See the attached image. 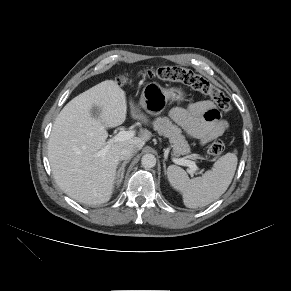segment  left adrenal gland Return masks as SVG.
<instances>
[{
  "label": "left adrenal gland",
  "mask_w": 291,
  "mask_h": 291,
  "mask_svg": "<svg viewBox=\"0 0 291 291\" xmlns=\"http://www.w3.org/2000/svg\"><path fill=\"white\" fill-rule=\"evenodd\" d=\"M163 167H164V172H165V175H166V163H165V160H163Z\"/></svg>",
  "instance_id": "a2214340"
}]
</instances>
